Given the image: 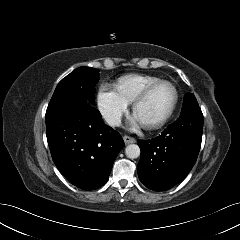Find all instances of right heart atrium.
<instances>
[{"label": "right heart atrium", "instance_id": "right-heart-atrium-1", "mask_svg": "<svg viewBox=\"0 0 240 240\" xmlns=\"http://www.w3.org/2000/svg\"><path fill=\"white\" fill-rule=\"evenodd\" d=\"M97 102L100 113L111 126L120 125L128 112V104L108 85L100 87Z\"/></svg>", "mask_w": 240, "mask_h": 240}]
</instances>
